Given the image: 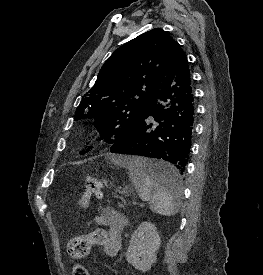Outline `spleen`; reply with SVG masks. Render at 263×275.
I'll return each instance as SVG.
<instances>
[{
    "instance_id": "obj_1",
    "label": "spleen",
    "mask_w": 263,
    "mask_h": 275,
    "mask_svg": "<svg viewBox=\"0 0 263 275\" xmlns=\"http://www.w3.org/2000/svg\"><path fill=\"white\" fill-rule=\"evenodd\" d=\"M120 164L129 172V178L139 197L150 204V209L157 214L172 216L178 212V200L181 195V184L171 189L166 188L148 174L152 167H170L164 162H153L142 157H130Z\"/></svg>"
}]
</instances>
